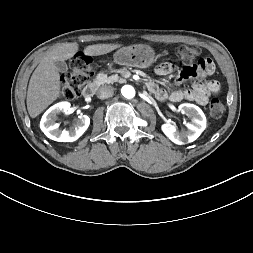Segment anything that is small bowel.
<instances>
[{
	"label": "small bowel",
	"mask_w": 253,
	"mask_h": 253,
	"mask_svg": "<svg viewBox=\"0 0 253 253\" xmlns=\"http://www.w3.org/2000/svg\"><path fill=\"white\" fill-rule=\"evenodd\" d=\"M176 67L173 64L164 63L155 69L158 76H166L175 72ZM215 72V62L212 59L203 60L201 57H196L189 64L181 67V74L174 80V85L178 86L187 82L191 77H204L212 75ZM148 89L154 93L160 100H170L178 103L183 100L193 101L199 105H206L209 97L212 94L219 92V84L215 80L195 81L192 88L184 90L167 91L161 88L156 80L148 81Z\"/></svg>",
	"instance_id": "obj_1"
}]
</instances>
